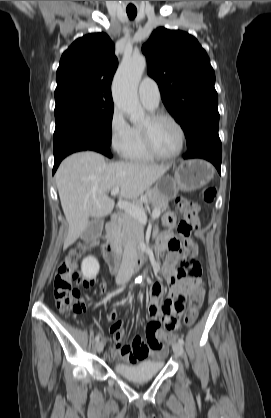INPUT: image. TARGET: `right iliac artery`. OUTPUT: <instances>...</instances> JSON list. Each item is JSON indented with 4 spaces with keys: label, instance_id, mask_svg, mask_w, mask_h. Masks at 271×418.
I'll return each mask as SVG.
<instances>
[{
    "label": "right iliac artery",
    "instance_id": "1",
    "mask_svg": "<svg viewBox=\"0 0 271 418\" xmlns=\"http://www.w3.org/2000/svg\"><path fill=\"white\" fill-rule=\"evenodd\" d=\"M140 282V280H136L135 281V283H139ZM99 339H100V335H97L96 337H95V341L96 342H98L99 341Z\"/></svg>",
    "mask_w": 271,
    "mask_h": 418
}]
</instances>
